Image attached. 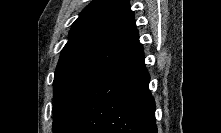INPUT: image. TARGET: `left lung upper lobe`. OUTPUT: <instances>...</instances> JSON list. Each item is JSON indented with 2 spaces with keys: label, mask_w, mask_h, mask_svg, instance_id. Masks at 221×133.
<instances>
[{
  "label": "left lung upper lobe",
  "mask_w": 221,
  "mask_h": 133,
  "mask_svg": "<svg viewBox=\"0 0 221 133\" xmlns=\"http://www.w3.org/2000/svg\"><path fill=\"white\" fill-rule=\"evenodd\" d=\"M138 44L127 0H94L81 12L55 70L54 133L85 88Z\"/></svg>",
  "instance_id": "obj_1"
}]
</instances>
